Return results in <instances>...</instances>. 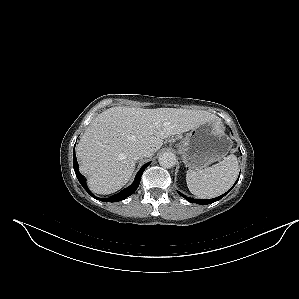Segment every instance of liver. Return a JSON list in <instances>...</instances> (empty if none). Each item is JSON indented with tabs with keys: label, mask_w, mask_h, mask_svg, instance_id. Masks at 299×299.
<instances>
[{
	"label": "liver",
	"mask_w": 299,
	"mask_h": 299,
	"mask_svg": "<svg viewBox=\"0 0 299 299\" xmlns=\"http://www.w3.org/2000/svg\"><path fill=\"white\" fill-rule=\"evenodd\" d=\"M218 120L201 110L109 108L91 122L77 145L80 171L94 193H114L130 180L138 151L147 149L153 155L163 139Z\"/></svg>",
	"instance_id": "obj_1"
}]
</instances>
